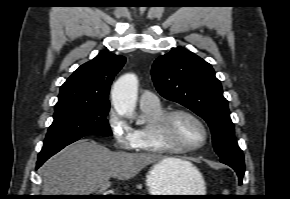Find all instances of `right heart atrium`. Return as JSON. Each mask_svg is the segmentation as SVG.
<instances>
[{
    "instance_id": "obj_1",
    "label": "right heart atrium",
    "mask_w": 290,
    "mask_h": 199,
    "mask_svg": "<svg viewBox=\"0 0 290 199\" xmlns=\"http://www.w3.org/2000/svg\"><path fill=\"white\" fill-rule=\"evenodd\" d=\"M108 126L110 128L114 145L120 150H132L134 147V129L114 109L108 115Z\"/></svg>"
}]
</instances>
